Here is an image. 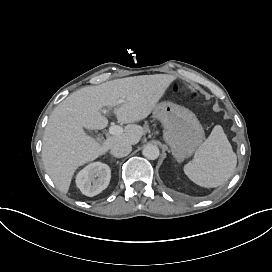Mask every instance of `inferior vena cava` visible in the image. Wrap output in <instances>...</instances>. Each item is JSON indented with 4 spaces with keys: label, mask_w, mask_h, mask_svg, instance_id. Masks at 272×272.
<instances>
[{
    "label": "inferior vena cava",
    "mask_w": 272,
    "mask_h": 272,
    "mask_svg": "<svg viewBox=\"0 0 272 272\" xmlns=\"http://www.w3.org/2000/svg\"><path fill=\"white\" fill-rule=\"evenodd\" d=\"M132 151L130 144L118 142L112 145L111 154L117 158L125 157Z\"/></svg>",
    "instance_id": "602c4592"
}]
</instances>
